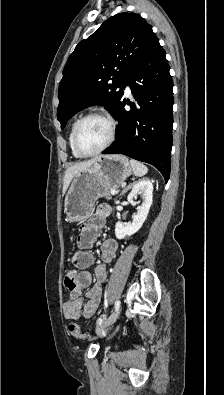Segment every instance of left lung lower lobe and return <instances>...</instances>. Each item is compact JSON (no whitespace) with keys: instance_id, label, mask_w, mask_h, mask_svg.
Here are the masks:
<instances>
[{"instance_id":"1","label":"left lung lower lobe","mask_w":224,"mask_h":395,"mask_svg":"<svg viewBox=\"0 0 224 395\" xmlns=\"http://www.w3.org/2000/svg\"><path fill=\"white\" fill-rule=\"evenodd\" d=\"M166 53L157 40L129 74L135 99L126 111L122 99L113 117L118 120L117 140L103 154L121 153L155 166L167 182L170 175L173 83ZM125 85V86H126Z\"/></svg>"}]
</instances>
